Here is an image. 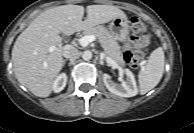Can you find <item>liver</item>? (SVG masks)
Returning a JSON list of instances; mask_svg holds the SVG:
<instances>
[{"label": "liver", "instance_id": "1", "mask_svg": "<svg viewBox=\"0 0 194 133\" xmlns=\"http://www.w3.org/2000/svg\"><path fill=\"white\" fill-rule=\"evenodd\" d=\"M84 7L62 5L39 14L18 36L12 49V61L17 80L34 95L48 97L63 66L64 47L60 33L72 35L117 17H126L116 6L89 5L82 21ZM54 46L55 50L49 52Z\"/></svg>", "mask_w": 194, "mask_h": 133}]
</instances>
